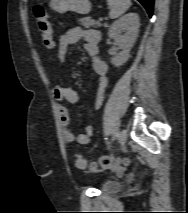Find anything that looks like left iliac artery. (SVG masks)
I'll return each mask as SVG.
<instances>
[{
    "mask_svg": "<svg viewBox=\"0 0 188 213\" xmlns=\"http://www.w3.org/2000/svg\"><path fill=\"white\" fill-rule=\"evenodd\" d=\"M118 136H119V134H118V132H116V133L113 135L112 140L115 141V140L118 138Z\"/></svg>",
    "mask_w": 188,
    "mask_h": 213,
    "instance_id": "44dca946",
    "label": "left iliac artery"
}]
</instances>
